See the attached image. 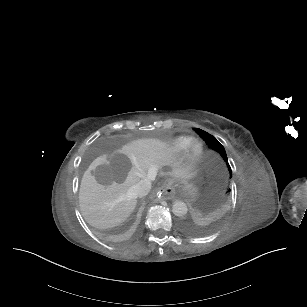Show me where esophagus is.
Returning a JSON list of instances; mask_svg holds the SVG:
<instances>
[{
  "mask_svg": "<svg viewBox=\"0 0 307 307\" xmlns=\"http://www.w3.org/2000/svg\"><path fill=\"white\" fill-rule=\"evenodd\" d=\"M175 196V189L172 187L171 184H167L163 189H162V197L164 199H172Z\"/></svg>",
  "mask_w": 307,
  "mask_h": 307,
  "instance_id": "obj_1",
  "label": "esophagus"
}]
</instances>
